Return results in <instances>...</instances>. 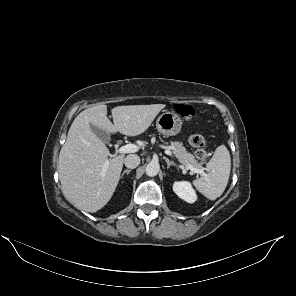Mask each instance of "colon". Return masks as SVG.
<instances>
[{"label": "colon", "mask_w": 296, "mask_h": 296, "mask_svg": "<svg viewBox=\"0 0 296 296\" xmlns=\"http://www.w3.org/2000/svg\"><path fill=\"white\" fill-rule=\"evenodd\" d=\"M175 112L186 120H190L194 115V109L184 103H178L174 106ZM189 144L195 149V156L199 160H205L207 158V152L205 151V139L200 134H194L189 137Z\"/></svg>", "instance_id": "colon-1"}]
</instances>
